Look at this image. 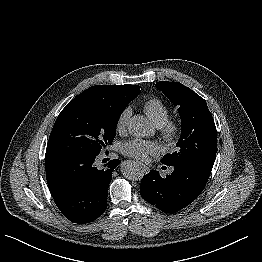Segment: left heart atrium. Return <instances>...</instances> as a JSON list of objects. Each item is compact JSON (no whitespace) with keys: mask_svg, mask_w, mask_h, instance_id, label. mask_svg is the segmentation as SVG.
<instances>
[{"mask_svg":"<svg viewBox=\"0 0 262 262\" xmlns=\"http://www.w3.org/2000/svg\"><path fill=\"white\" fill-rule=\"evenodd\" d=\"M120 149L123 154L140 160H145L148 156L159 152V146L156 143L141 139L127 141L121 145Z\"/></svg>","mask_w":262,"mask_h":262,"instance_id":"39dd6f15","label":"left heart atrium"}]
</instances>
